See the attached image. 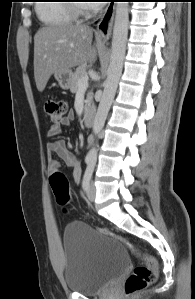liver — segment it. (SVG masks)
I'll return each mask as SVG.
<instances>
[{"instance_id":"6515ba94","label":"liver","mask_w":195,"mask_h":299,"mask_svg":"<svg viewBox=\"0 0 195 299\" xmlns=\"http://www.w3.org/2000/svg\"><path fill=\"white\" fill-rule=\"evenodd\" d=\"M93 29L87 25L66 23L40 28L34 36V77L42 92L52 74L78 65L94 63L101 40L92 45Z\"/></svg>"}]
</instances>
